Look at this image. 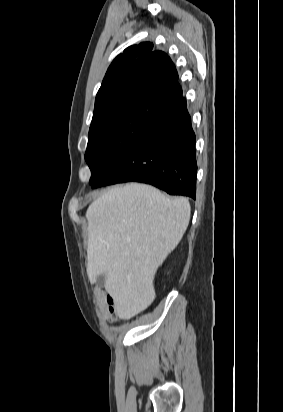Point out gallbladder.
<instances>
[{
	"mask_svg": "<svg viewBox=\"0 0 283 412\" xmlns=\"http://www.w3.org/2000/svg\"><path fill=\"white\" fill-rule=\"evenodd\" d=\"M96 285L100 288L104 287L105 285V275L101 274L96 279Z\"/></svg>",
	"mask_w": 283,
	"mask_h": 412,
	"instance_id": "1",
	"label": "gallbladder"
}]
</instances>
